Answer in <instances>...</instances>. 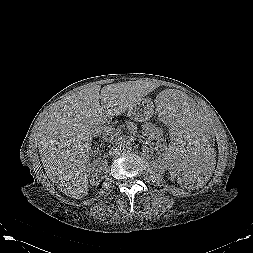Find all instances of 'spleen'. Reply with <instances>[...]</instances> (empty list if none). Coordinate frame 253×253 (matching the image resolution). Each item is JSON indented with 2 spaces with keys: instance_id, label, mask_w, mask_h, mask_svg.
I'll return each mask as SVG.
<instances>
[{
  "instance_id": "3e777b00",
  "label": "spleen",
  "mask_w": 253,
  "mask_h": 253,
  "mask_svg": "<svg viewBox=\"0 0 253 253\" xmlns=\"http://www.w3.org/2000/svg\"><path fill=\"white\" fill-rule=\"evenodd\" d=\"M154 110L170 128V169L184 187L200 186L215 158V139L200 108L183 93L163 90L154 99Z\"/></svg>"
}]
</instances>
